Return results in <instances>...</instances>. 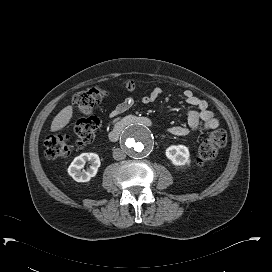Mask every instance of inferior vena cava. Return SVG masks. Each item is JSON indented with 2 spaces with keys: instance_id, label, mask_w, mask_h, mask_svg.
<instances>
[{
  "instance_id": "1",
  "label": "inferior vena cava",
  "mask_w": 272,
  "mask_h": 272,
  "mask_svg": "<svg viewBox=\"0 0 272 272\" xmlns=\"http://www.w3.org/2000/svg\"><path fill=\"white\" fill-rule=\"evenodd\" d=\"M125 157H126L125 152L122 149H120V148L114 149L113 158L115 160H117V161L118 160H123Z\"/></svg>"
}]
</instances>
